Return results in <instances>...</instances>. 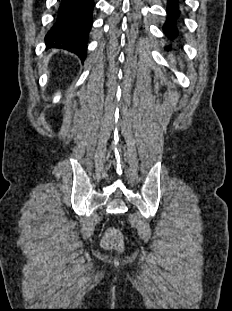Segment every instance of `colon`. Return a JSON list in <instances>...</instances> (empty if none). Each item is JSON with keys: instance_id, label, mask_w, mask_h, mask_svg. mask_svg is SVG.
Returning a JSON list of instances; mask_svg holds the SVG:
<instances>
[{"instance_id": "1", "label": "colon", "mask_w": 232, "mask_h": 311, "mask_svg": "<svg viewBox=\"0 0 232 311\" xmlns=\"http://www.w3.org/2000/svg\"><path fill=\"white\" fill-rule=\"evenodd\" d=\"M101 244L105 249L118 250L123 246V237L116 228H108L104 233Z\"/></svg>"}]
</instances>
